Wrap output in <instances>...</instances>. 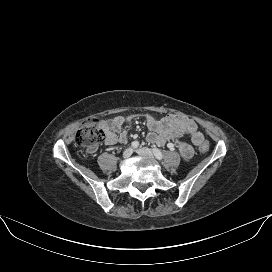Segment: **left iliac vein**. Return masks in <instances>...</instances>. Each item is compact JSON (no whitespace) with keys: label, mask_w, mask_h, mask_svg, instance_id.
I'll return each mask as SVG.
<instances>
[{"label":"left iliac vein","mask_w":272,"mask_h":272,"mask_svg":"<svg viewBox=\"0 0 272 272\" xmlns=\"http://www.w3.org/2000/svg\"><path fill=\"white\" fill-rule=\"evenodd\" d=\"M136 152L141 156L150 157V158L153 157L152 151L145 147L137 149Z\"/></svg>","instance_id":"4c4485c4"}]
</instances>
